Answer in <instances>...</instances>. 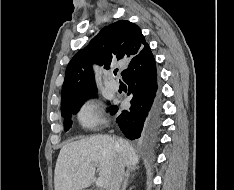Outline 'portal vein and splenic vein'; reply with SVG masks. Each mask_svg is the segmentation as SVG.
Wrapping results in <instances>:
<instances>
[{
	"label": "portal vein and splenic vein",
	"instance_id": "1",
	"mask_svg": "<svg viewBox=\"0 0 234 190\" xmlns=\"http://www.w3.org/2000/svg\"><path fill=\"white\" fill-rule=\"evenodd\" d=\"M103 184H104V179L102 177H98V179L96 181L97 187H102Z\"/></svg>",
	"mask_w": 234,
	"mask_h": 190
}]
</instances>
